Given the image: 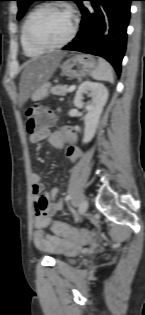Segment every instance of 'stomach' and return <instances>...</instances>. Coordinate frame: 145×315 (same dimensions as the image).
<instances>
[{
  "label": "stomach",
  "mask_w": 145,
  "mask_h": 315,
  "mask_svg": "<svg viewBox=\"0 0 145 315\" xmlns=\"http://www.w3.org/2000/svg\"><path fill=\"white\" fill-rule=\"evenodd\" d=\"M97 62L91 55H75L61 65L62 73L70 78H80L91 74Z\"/></svg>",
  "instance_id": "stomach-1"
}]
</instances>
